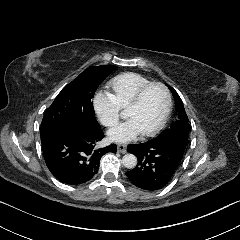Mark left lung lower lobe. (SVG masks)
Returning <instances> with one entry per match:
<instances>
[{
  "mask_svg": "<svg viewBox=\"0 0 240 240\" xmlns=\"http://www.w3.org/2000/svg\"><path fill=\"white\" fill-rule=\"evenodd\" d=\"M187 143L179 139H155L130 144L127 151L137 157L138 164L126 172L136 187L154 191L163 188L178 168Z\"/></svg>",
  "mask_w": 240,
  "mask_h": 240,
  "instance_id": "obj_1",
  "label": "left lung lower lobe"
}]
</instances>
